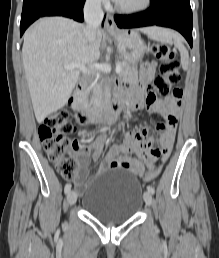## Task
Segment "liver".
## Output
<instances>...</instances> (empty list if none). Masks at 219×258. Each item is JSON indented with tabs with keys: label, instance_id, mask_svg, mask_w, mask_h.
Here are the masks:
<instances>
[{
	"label": "liver",
	"instance_id": "obj_1",
	"mask_svg": "<svg viewBox=\"0 0 219 258\" xmlns=\"http://www.w3.org/2000/svg\"><path fill=\"white\" fill-rule=\"evenodd\" d=\"M149 28L141 31L147 32ZM102 32L90 44L84 26L64 17H45L24 34L23 66L36 119L62 108L79 79L80 69H64L78 64L93 67L100 58Z\"/></svg>",
	"mask_w": 219,
	"mask_h": 258
}]
</instances>
